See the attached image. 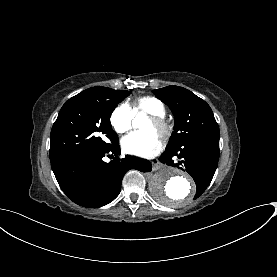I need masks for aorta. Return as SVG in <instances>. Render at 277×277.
<instances>
[{
  "mask_svg": "<svg viewBox=\"0 0 277 277\" xmlns=\"http://www.w3.org/2000/svg\"><path fill=\"white\" fill-rule=\"evenodd\" d=\"M144 118V113H138L133 120V126L137 127ZM195 189V184L187 173L170 167L161 169L150 182L153 197L161 204L168 206L184 205L190 202Z\"/></svg>",
  "mask_w": 277,
  "mask_h": 277,
  "instance_id": "1",
  "label": "aorta"
}]
</instances>
